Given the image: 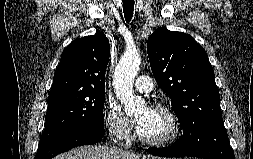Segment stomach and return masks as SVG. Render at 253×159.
<instances>
[{
	"instance_id": "stomach-1",
	"label": "stomach",
	"mask_w": 253,
	"mask_h": 159,
	"mask_svg": "<svg viewBox=\"0 0 253 159\" xmlns=\"http://www.w3.org/2000/svg\"><path fill=\"white\" fill-rule=\"evenodd\" d=\"M147 159H165V158H154V157H149Z\"/></svg>"
}]
</instances>
